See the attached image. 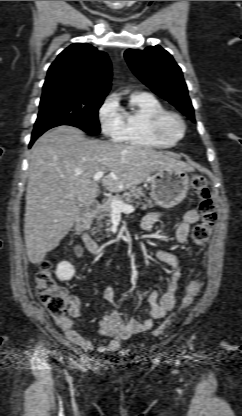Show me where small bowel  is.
I'll use <instances>...</instances> for the list:
<instances>
[{
  "instance_id": "obj_1",
  "label": "small bowel",
  "mask_w": 242,
  "mask_h": 416,
  "mask_svg": "<svg viewBox=\"0 0 242 416\" xmlns=\"http://www.w3.org/2000/svg\"><path fill=\"white\" fill-rule=\"evenodd\" d=\"M164 217L163 213L150 212L142 219L141 227L144 231L151 233L156 223ZM199 218L200 216L196 210H189L185 214L183 220L177 225L175 232V238L179 245L186 244L190 228L198 222ZM188 253L191 254V251L188 250ZM157 257L171 267L172 275L164 293L160 295L157 290H153L150 293L147 318L141 322L136 320L125 321L118 307L115 290L108 285L103 290V297L112 305V308L104 313L98 331L100 337L107 339L106 343L98 347L75 329L72 318H76L80 314V303L76 298L70 299V317L55 318L56 324L63 331L67 340L86 351L114 352L119 348L122 340L149 331L153 326L154 320L164 317L174 307L178 281L181 276V262L176 255L166 251H158Z\"/></svg>"
}]
</instances>
